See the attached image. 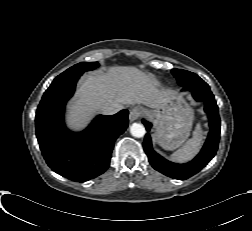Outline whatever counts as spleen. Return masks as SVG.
Wrapping results in <instances>:
<instances>
[{"label":"spleen","instance_id":"obj_1","mask_svg":"<svg viewBox=\"0 0 252 231\" xmlns=\"http://www.w3.org/2000/svg\"><path fill=\"white\" fill-rule=\"evenodd\" d=\"M203 141L201 126L198 124L193 132V137L185 145L171 155V159L176 162H186L191 160L199 151Z\"/></svg>","mask_w":252,"mask_h":231}]
</instances>
